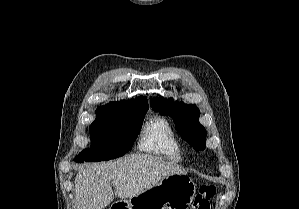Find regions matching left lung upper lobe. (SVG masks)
<instances>
[{
	"label": "left lung upper lobe",
	"instance_id": "obj_1",
	"mask_svg": "<svg viewBox=\"0 0 299 209\" xmlns=\"http://www.w3.org/2000/svg\"><path fill=\"white\" fill-rule=\"evenodd\" d=\"M150 104L154 111H160L161 115H169L173 118L182 138L195 150L205 148L206 130L198 121L200 112L195 105L174 102L172 98L166 100L162 97L157 100L151 99Z\"/></svg>",
	"mask_w": 299,
	"mask_h": 209
}]
</instances>
